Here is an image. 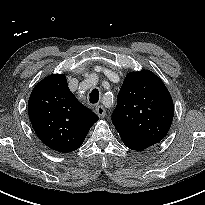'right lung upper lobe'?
Here are the masks:
<instances>
[{"label":"right lung upper lobe","mask_w":205,"mask_h":205,"mask_svg":"<svg viewBox=\"0 0 205 205\" xmlns=\"http://www.w3.org/2000/svg\"><path fill=\"white\" fill-rule=\"evenodd\" d=\"M28 113L39 139L62 153L77 150L98 116L72 94L64 75L53 74L40 81L28 101Z\"/></svg>","instance_id":"right-lung-upper-lobe-1"}]
</instances>
